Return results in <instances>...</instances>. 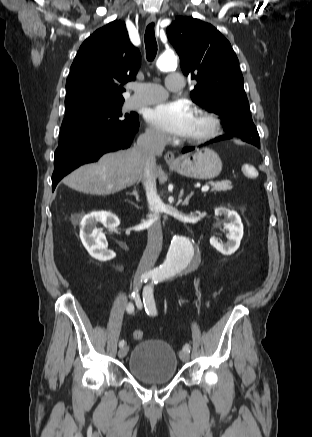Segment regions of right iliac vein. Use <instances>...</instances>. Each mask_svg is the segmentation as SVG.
I'll return each instance as SVG.
<instances>
[{
	"mask_svg": "<svg viewBox=\"0 0 312 437\" xmlns=\"http://www.w3.org/2000/svg\"><path fill=\"white\" fill-rule=\"evenodd\" d=\"M127 352H128V346L127 345L122 346L118 351V356L120 358H124L126 356Z\"/></svg>",
	"mask_w": 312,
	"mask_h": 437,
	"instance_id": "obj_1",
	"label": "right iliac vein"
}]
</instances>
